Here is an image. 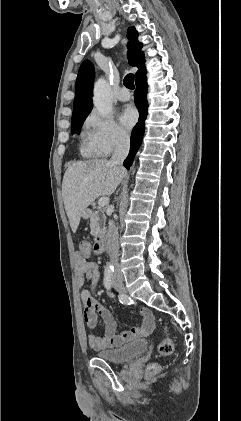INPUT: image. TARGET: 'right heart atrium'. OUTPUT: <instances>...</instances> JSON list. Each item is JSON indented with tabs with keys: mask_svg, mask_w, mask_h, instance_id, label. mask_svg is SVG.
Wrapping results in <instances>:
<instances>
[{
	"mask_svg": "<svg viewBox=\"0 0 241 421\" xmlns=\"http://www.w3.org/2000/svg\"><path fill=\"white\" fill-rule=\"evenodd\" d=\"M86 139L92 155L107 157L129 143V134L112 117L91 111L85 119Z\"/></svg>",
	"mask_w": 241,
	"mask_h": 421,
	"instance_id": "1",
	"label": "right heart atrium"
}]
</instances>
